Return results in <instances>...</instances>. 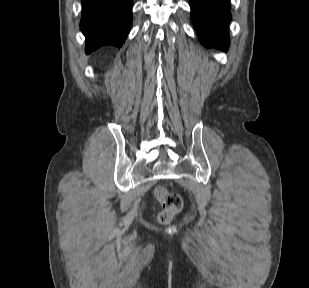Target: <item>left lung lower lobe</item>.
<instances>
[{
  "instance_id": "obj_1",
  "label": "left lung lower lobe",
  "mask_w": 309,
  "mask_h": 288,
  "mask_svg": "<svg viewBox=\"0 0 309 288\" xmlns=\"http://www.w3.org/2000/svg\"><path fill=\"white\" fill-rule=\"evenodd\" d=\"M230 0H190L191 15L201 43L227 51Z\"/></svg>"
}]
</instances>
